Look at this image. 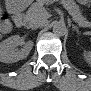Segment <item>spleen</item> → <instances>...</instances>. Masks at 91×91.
I'll return each instance as SVG.
<instances>
[{"label":"spleen","instance_id":"spleen-1","mask_svg":"<svg viewBox=\"0 0 91 91\" xmlns=\"http://www.w3.org/2000/svg\"><path fill=\"white\" fill-rule=\"evenodd\" d=\"M84 56H85L86 60L89 61V59H90V54H89V52L85 53Z\"/></svg>","mask_w":91,"mask_h":91}]
</instances>
